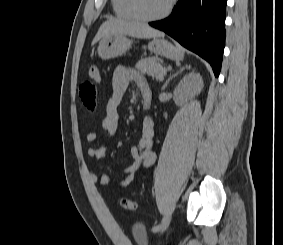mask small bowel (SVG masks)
<instances>
[{
  "instance_id": "1",
  "label": "small bowel",
  "mask_w": 283,
  "mask_h": 245,
  "mask_svg": "<svg viewBox=\"0 0 283 245\" xmlns=\"http://www.w3.org/2000/svg\"><path fill=\"white\" fill-rule=\"evenodd\" d=\"M98 82V81H97ZM91 80L84 81L79 88V96L84 107L89 111H94L97 105V91L96 83ZM131 82H134L139 87L143 99L146 96L152 98V91L147 84L144 77L136 70L126 67L118 66L112 76L113 93L106 104V115L102 122V127L108 137L114 136L119 127V106L121 105L123 96L127 91ZM155 137V125L150 117H145L142 124V135L137 145L130 149V156L132 163L123 170V178L117 180L108 175L98 176L93 170L88 174V178L93 183L108 186H127L132 183L136 177V173L141 167L151 166L156 155L153 151ZM89 143H96L98 135L94 132L87 135ZM107 151L106 146L102 145L97 148H89L87 154L93 159H101L105 156Z\"/></svg>"
}]
</instances>
